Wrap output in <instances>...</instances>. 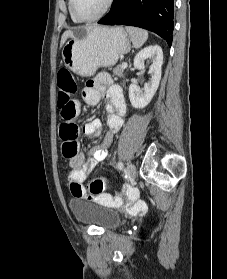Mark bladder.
<instances>
[{
	"label": "bladder",
	"mask_w": 227,
	"mask_h": 279,
	"mask_svg": "<svg viewBox=\"0 0 227 279\" xmlns=\"http://www.w3.org/2000/svg\"><path fill=\"white\" fill-rule=\"evenodd\" d=\"M70 207L76 220L81 224L95 225L109 230L121 224V216L113 208L77 199L70 201Z\"/></svg>",
	"instance_id": "31cf9c89"
}]
</instances>
